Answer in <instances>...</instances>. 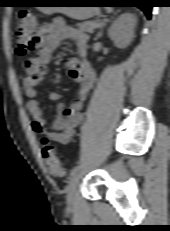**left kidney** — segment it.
Returning <instances> with one entry per match:
<instances>
[{"label":"left kidney","mask_w":170,"mask_h":231,"mask_svg":"<svg viewBox=\"0 0 170 231\" xmlns=\"http://www.w3.org/2000/svg\"><path fill=\"white\" fill-rule=\"evenodd\" d=\"M136 17L130 13L120 15L108 30L109 37L118 48L127 47L134 37Z\"/></svg>","instance_id":"5707ae66"}]
</instances>
